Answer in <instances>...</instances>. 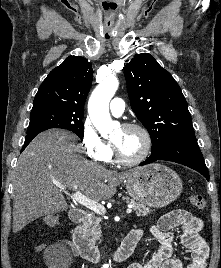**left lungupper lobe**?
Segmentation results:
<instances>
[{
	"mask_svg": "<svg viewBox=\"0 0 221 268\" xmlns=\"http://www.w3.org/2000/svg\"><path fill=\"white\" fill-rule=\"evenodd\" d=\"M131 108L148 130L152 152L175 137L194 135L188 103L172 75L148 53L124 68Z\"/></svg>",
	"mask_w": 221,
	"mask_h": 268,
	"instance_id": "left-lung-upper-lobe-1",
	"label": "left lung upper lobe"
}]
</instances>
